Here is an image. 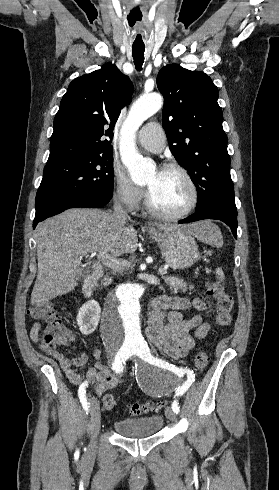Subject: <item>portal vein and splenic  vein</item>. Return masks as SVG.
I'll use <instances>...</instances> for the list:
<instances>
[{
	"label": "portal vein and splenic vein",
	"instance_id": "portal-vein-and-splenic-vein-1",
	"mask_svg": "<svg viewBox=\"0 0 279 490\" xmlns=\"http://www.w3.org/2000/svg\"><path fill=\"white\" fill-rule=\"evenodd\" d=\"M93 256V254H92ZM96 256V254H94ZM98 260L99 262H102L106 268H119V266H126L124 262H121V260H116V258H111V256H108L106 252H100L98 254ZM159 274H167V268H160Z\"/></svg>",
	"mask_w": 279,
	"mask_h": 490
}]
</instances>
